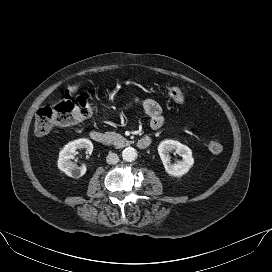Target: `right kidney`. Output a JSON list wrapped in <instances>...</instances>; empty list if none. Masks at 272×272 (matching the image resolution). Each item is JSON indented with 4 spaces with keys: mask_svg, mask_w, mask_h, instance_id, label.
<instances>
[{
    "mask_svg": "<svg viewBox=\"0 0 272 272\" xmlns=\"http://www.w3.org/2000/svg\"><path fill=\"white\" fill-rule=\"evenodd\" d=\"M86 149L91 154L93 151V144L86 138L78 139L69 142L59 153V159L57 161L58 168L63 171L66 175L72 178H80L86 173V166H77L71 159L77 149Z\"/></svg>",
    "mask_w": 272,
    "mask_h": 272,
    "instance_id": "ca27d5eb",
    "label": "right kidney"
}]
</instances>
